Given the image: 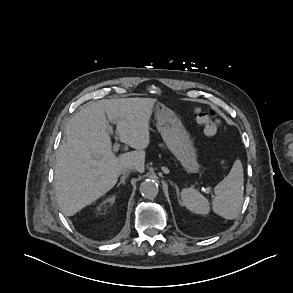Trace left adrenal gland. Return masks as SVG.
<instances>
[{"instance_id": "left-adrenal-gland-1", "label": "left adrenal gland", "mask_w": 293, "mask_h": 293, "mask_svg": "<svg viewBox=\"0 0 293 293\" xmlns=\"http://www.w3.org/2000/svg\"><path fill=\"white\" fill-rule=\"evenodd\" d=\"M175 188H176V193H177V198H178V201L180 202V193H179V188L177 185H175Z\"/></svg>"}]
</instances>
